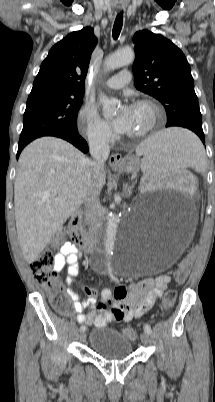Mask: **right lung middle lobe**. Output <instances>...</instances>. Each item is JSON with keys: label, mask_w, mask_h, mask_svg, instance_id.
<instances>
[{"label": "right lung middle lobe", "mask_w": 215, "mask_h": 402, "mask_svg": "<svg viewBox=\"0 0 215 402\" xmlns=\"http://www.w3.org/2000/svg\"><path fill=\"white\" fill-rule=\"evenodd\" d=\"M82 97L56 93L30 95L23 118L19 145L42 136L77 132V114Z\"/></svg>", "instance_id": "1"}]
</instances>
